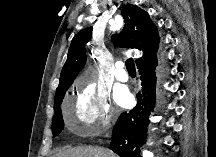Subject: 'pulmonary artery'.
Listing matches in <instances>:
<instances>
[{"mask_svg": "<svg viewBox=\"0 0 216 157\" xmlns=\"http://www.w3.org/2000/svg\"><path fill=\"white\" fill-rule=\"evenodd\" d=\"M115 77L117 80L125 82L128 79V74L125 69L124 63L121 61H117L115 63Z\"/></svg>", "mask_w": 216, "mask_h": 157, "instance_id": "pulmonary-artery-1", "label": "pulmonary artery"}]
</instances>
